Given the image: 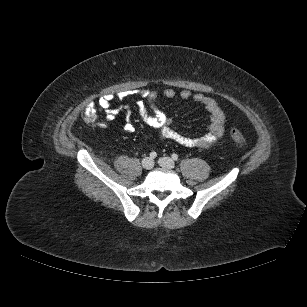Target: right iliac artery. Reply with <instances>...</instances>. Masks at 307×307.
<instances>
[{"mask_svg": "<svg viewBox=\"0 0 307 307\" xmlns=\"http://www.w3.org/2000/svg\"><path fill=\"white\" fill-rule=\"evenodd\" d=\"M149 157L151 159H155L157 157V153L155 151H152L150 154H149Z\"/></svg>", "mask_w": 307, "mask_h": 307, "instance_id": "right-iliac-artery-1", "label": "right iliac artery"}]
</instances>
